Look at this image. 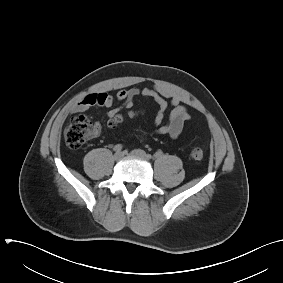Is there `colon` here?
<instances>
[{"instance_id": "obj_1", "label": "colon", "mask_w": 283, "mask_h": 283, "mask_svg": "<svg viewBox=\"0 0 283 283\" xmlns=\"http://www.w3.org/2000/svg\"><path fill=\"white\" fill-rule=\"evenodd\" d=\"M137 114L138 112L131 110L126 116L134 117ZM124 118L125 115L118 113L109 120V124L112 128H114L121 123ZM94 127L95 125H93L90 118L85 114H79L73 117L64 132V138L67 146L71 149L81 147L93 135ZM203 156V151L199 147H194L190 152V158L196 162L201 161Z\"/></svg>"}]
</instances>
